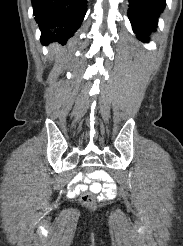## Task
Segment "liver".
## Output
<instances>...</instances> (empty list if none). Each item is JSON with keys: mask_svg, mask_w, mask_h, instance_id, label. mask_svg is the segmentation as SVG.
I'll return each instance as SVG.
<instances>
[{"mask_svg": "<svg viewBox=\"0 0 183 246\" xmlns=\"http://www.w3.org/2000/svg\"><path fill=\"white\" fill-rule=\"evenodd\" d=\"M53 53L56 54V55H60L58 45H56V46L54 45V46H53Z\"/></svg>", "mask_w": 183, "mask_h": 246, "instance_id": "liver-1", "label": "liver"}]
</instances>
